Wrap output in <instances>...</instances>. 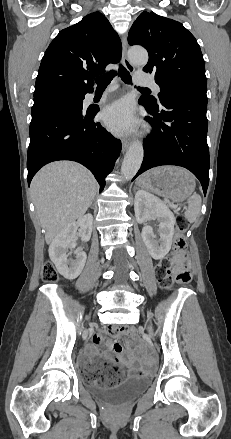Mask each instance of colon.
<instances>
[{"label": "colon", "instance_id": "colon-1", "mask_svg": "<svg viewBox=\"0 0 231 439\" xmlns=\"http://www.w3.org/2000/svg\"><path fill=\"white\" fill-rule=\"evenodd\" d=\"M188 226L187 218L179 215L176 219L174 253L172 256L164 258L156 267V277L167 289L171 288L175 283L187 284L191 280V273L186 267L187 251L184 237V232ZM42 279L47 283L57 280L56 271L50 263L44 265ZM116 330L122 333H133V330L128 326H123ZM125 374V367L112 366L101 375L98 383L102 386H111L120 382Z\"/></svg>", "mask_w": 231, "mask_h": 439}]
</instances>
